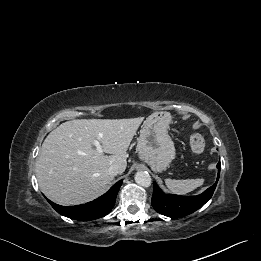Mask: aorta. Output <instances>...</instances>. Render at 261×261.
Masks as SVG:
<instances>
[{
    "mask_svg": "<svg viewBox=\"0 0 261 261\" xmlns=\"http://www.w3.org/2000/svg\"><path fill=\"white\" fill-rule=\"evenodd\" d=\"M135 182L142 187H149L152 179L148 172L139 171L135 174Z\"/></svg>",
    "mask_w": 261,
    "mask_h": 261,
    "instance_id": "aorta-1",
    "label": "aorta"
}]
</instances>
